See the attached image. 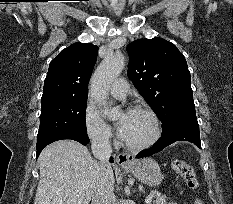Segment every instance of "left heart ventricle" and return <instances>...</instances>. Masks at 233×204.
<instances>
[{
	"label": "left heart ventricle",
	"mask_w": 233,
	"mask_h": 204,
	"mask_svg": "<svg viewBox=\"0 0 233 204\" xmlns=\"http://www.w3.org/2000/svg\"><path fill=\"white\" fill-rule=\"evenodd\" d=\"M117 123L124 125L123 139L131 144H140L147 141L153 133V124L150 117L142 112H127L121 114Z\"/></svg>",
	"instance_id": "left-heart-ventricle-1"
}]
</instances>
